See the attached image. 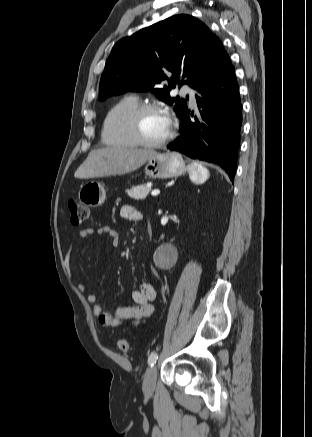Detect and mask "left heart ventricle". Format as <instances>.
<instances>
[{
    "instance_id": "1",
    "label": "left heart ventricle",
    "mask_w": 312,
    "mask_h": 437,
    "mask_svg": "<svg viewBox=\"0 0 312 437\" xmlns=\"http://www.w3.org/2000/svg\"><path fill=\"white\" fill-rule=\"evenodd\" d=\"M169 128V119L162 112L147 113L141 121L142 133L151 141L162 140L168 134Z\"/></svg>"
}]
</instances>
